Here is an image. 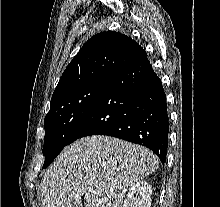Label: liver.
Returning a JSON list of instances; mask_svg holds the SVG:
<instances>
[{"instance_id": "6515ba94", "label": "liver", "mask_w": 220, "mask_h": 207, "mask_svg": "<svg viewBox=\"0 0 220 207\" xmlns=\"http://www.w3.org/2000/svg\"><path fill=\"white\" fill-rule=\"evenodd\" d=\"M158 165L157 156L143 146L102 135L81 138L45 172L42 207H82V196L89 207H121L126 192Z\"/></svg>"}]
</instances>
